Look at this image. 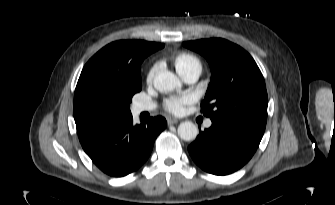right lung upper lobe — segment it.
I'll use <instances>...</instances> for the list:
<instances>
[{
	"label": "right lung upper lobe",
	"instance_id": "obj_1",
	"mask_svg": "<svg viewBox=\"0 0 335 205\" xmlns=\"http://www.w3.org/2000/svg\"><path fill=\"white\" fill-rule=\"evenodd\" d=\"M164 44L121 40L98 51L84 66L74 93V119L78 135L107 126L130 115L121 103L136 82L142 61Z\"/></svg>",
	"mask_w": 335,
	"mask_h": 205
}]
</instances>
